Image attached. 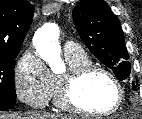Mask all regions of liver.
<instances>
[{"mask_svg": "<svg viewBox=\"0 0 142 119\" xmlns=\"http://www.w3.org/2000/svg\"><path fill=\"white\" fill-rule=\"evenodd\" d=\"M0 119H66L65 116L32 112L26 114H0Z\"/></svg>", "mask_w": 142, "mask_h": 119, "instance_id": "obj_1", "label": "liver"}]
</instances>
